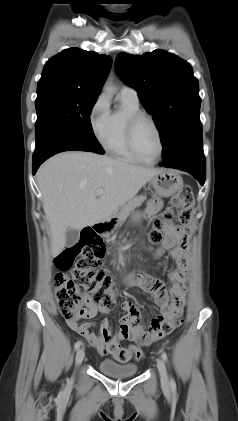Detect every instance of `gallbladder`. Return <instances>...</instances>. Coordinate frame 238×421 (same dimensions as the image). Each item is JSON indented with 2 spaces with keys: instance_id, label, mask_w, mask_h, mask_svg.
<instances>
[{
  "instance_id": "gallbladder-1",
  "label": "gallbladder",
  "mask_w": 238,
  "mask_h": 421,
  "mask_svg": "<svg viewBox=\"0 0 238 421\" xmlns=\"http://www.w3.org/2000/svg\"><path fill=\"white\" fill-rule=\"evenodd\" d=\"M79 239V232L76 229L68 228L66 231V247H73Z\"/></svg>"
}]
</instances>
